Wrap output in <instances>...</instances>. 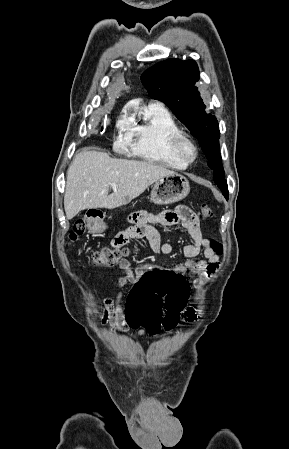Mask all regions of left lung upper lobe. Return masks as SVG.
I'll use <instances>...</instances> for the list:
<instances>
[{
    "mask_svg": "<svg viewBox=\"0 0 289 449\" xmlns=\"http://www.w3.org/2000/svg\"><path fill=\"white\" fill-rule=\"evenodd\" d=\"M141 80L150 96L165 103L198 139L208 166L214 170V182L224 196L228 195L219 150V125L215 116L205 113V105L194 86L199 80L196 62L165 60L147 69Z\"/></svg>",
    "mask_w": 289,
    "mask_h": 449,
    "instance_id": "5c2ea615",
    "label": "left lung upper lobe"
}]
</instances>
